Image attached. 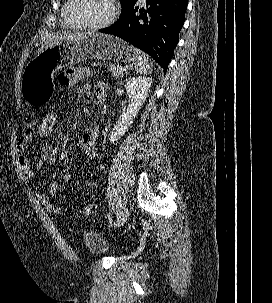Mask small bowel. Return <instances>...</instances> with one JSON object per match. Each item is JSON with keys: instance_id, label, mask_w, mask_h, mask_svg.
I'll return each mask as SVG.
<instances>
[{"instance_id": "small-bowel-1", "label": "small bowel", "mask_w": 272, "mask_h": 303, "mask_svg": "<svg viewBox=\"0 0 272 303\" xmlns=\"http://www.w3.org/2000/svg\"><path fill=\"white\" fill-rule=\"evenodd\" d=\"M90 75L85 69H70L59 75V83L63 86H73L82 78ZM105 93L103 85L99 84L96 94ZM36 125H30L20 137L17 143L18 163L24 176L29 180L35 179V172L31 168V161L37 160L36 170L41 171L52 166L57 161V155L53 148L43 146L36 152L30 151V145L36 135ZM98 137V129L92 128L86 131L80 139L79 148L88 159H95L97 156L95 141ZM59 186L56 183L48 185L47 193H37V199L53 214H59L61 209L52 203V198L57 194Z\"/></svg>"}]
</instances>
